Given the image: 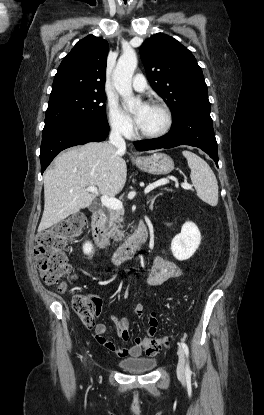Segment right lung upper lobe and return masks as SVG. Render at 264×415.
Listing matches in <instances>:
<instances>
[{
    "label": "right lung upper lobe",
    "mask_w": 264,
    "mask_h": 415,
    "mask_svg": "<svg viewBox=\"0 0 264 415\" xmlns=\"http://www.w3.org/2000/svg\"><path fill=\"white\" fill-rule=\"evenodd\" d=\"M108 42L89 35L61 62L50 96L69 91L104 92Z\"/></svg>",
    "instance_id": "1"
}]
</instances>
